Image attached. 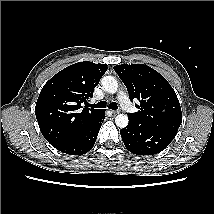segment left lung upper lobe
Instances as JSON below:
<instances>
[{"label":"left lung upper lobe","instance_id":"left-lung-upper-lobe-1","mask_svg":"<svg viewBox=\"0 0 214 214\" xmlns=\"http://www.w3.org/2000/svg\"><path fill=\"white\" fill-rule=\"evenodd\" d=\"M114 70L127 87L130 100L138 99L136 113L128 118L138 124L177 134L182 122L180 103L167 80L144 64H122Z\"/></svg>","mask_w":214,"mask_h":214}]
</instances>
